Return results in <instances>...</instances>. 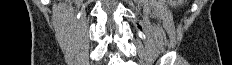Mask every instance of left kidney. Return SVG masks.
<instances>
[{
	"label": "left kidney",
	"instance_id": "5707ae66",
	"mask_svg": "<svg viewBox=\"0 0 232 65\" xmlns=\"http://www.w3.org/2000/svg\"><path fill=\"white\" fill-rule=\"evenodd\" d=\"M168 1H169L170 4H175V3L181 2V0H178L177 2H176V1H175V2H172V0H168Z\"/></svg>",
	"mask_w": 232,
	"mask_h": 65
}]
</instances>
